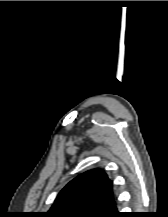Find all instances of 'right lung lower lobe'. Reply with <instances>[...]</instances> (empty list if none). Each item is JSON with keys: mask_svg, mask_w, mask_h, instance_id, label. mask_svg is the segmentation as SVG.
Instances as JSON below:
<instances>
[{"mask_svg": "<svg viewBox=\"0 0 168 217\" xmlns=\"http://www.w3.org/2000/svg\"><path fill=\"white\" fill-rule=\"evenodd\" d=\"M110 217H126V215H124L123 213H120V212H116L113 215H110Z\"/></svg>", "mask_w": 168, "mask_h": 217, "instance_id": "obj_1", "label": "right lung lower lobe"}]
</instances>
